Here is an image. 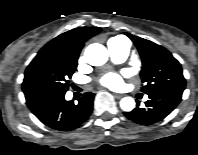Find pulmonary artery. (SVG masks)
<instances>
[{
	"instance_id": "pulmonary-artery-1",
	"label": "pulmonary artery",
	"mask_w": 198,
	"mask_h": 155,
	"mask_svg": "<svg viewBox=\"0 0 198 155\" xmlns=\"http://www.w3.org/2000/svg\"><path fill=\"white\" fill-rule=\"evenodd\" d=\"M108 49L114 61L123 62L128 57L130 42L124 37H115L108 41Z\"/></svg>"
}]
</instances>
